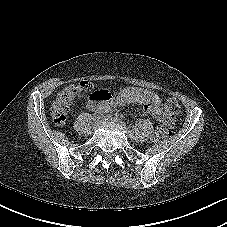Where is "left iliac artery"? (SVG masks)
Here are the masks:
<instances>
[{
  "mask_svg": "<svg viewBox=\"0 0 227 227\" xmlns=\"http://www.w3.org/2000/svg\"><path fill=\"white\" fill-rule=\"evenodd\" d=\"M132 133H133V135L136 136V135H138L139 132H138V130L135 129V130L132 131Z\"/></svg>",
  "mask_w": 227,
  "mask_h": 227,
  "instance_id": "obj_1",
  "label": "left iliac artery"
}]
</instances>
